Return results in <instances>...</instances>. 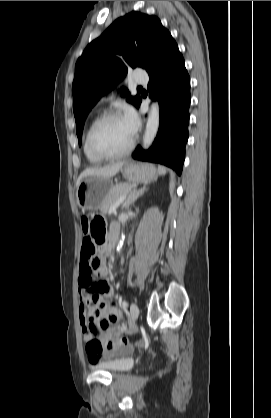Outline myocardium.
<instances>
[{
  "instance_id": "1",
  "label": "myocardium",
  "mask_w": 271,
  "mask_h": 418,
  "mask_svg": "<svg viewBox=\"0 0 271 418\" xmlns=\"http://www.w3.org/2000/svg\"><path fill=\"white\" fill-rule=\"evenodd\" d=\"M115 118H121V115L118 112H114V111H110V112H106L104 114H102L99 118H97L94 123L92 124L89 132H88V136H87V143H88V147L90 149V151L97 156L98 158L101 159H117V158H121L124 157L126 155H128L132 149L134 148L135 145V137L132 136V139L130 141V143L128 144V146L120 151V152H116V153H107V152H103L100 149L97 148V146L95 145L94 142V136L95 133L97 131V129L106 121L110 120V119H115Z\"/></svg>"
}]
</instances>
